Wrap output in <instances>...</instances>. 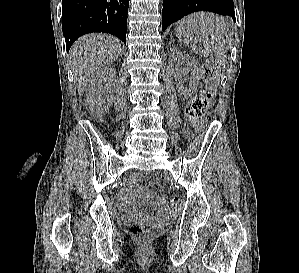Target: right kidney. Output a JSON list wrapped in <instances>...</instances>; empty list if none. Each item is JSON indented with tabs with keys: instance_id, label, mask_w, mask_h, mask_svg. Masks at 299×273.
<instances>
[{
	"instance_id": "right-kidney-1",
	"label": "right kidney",
	"mask_w": 299,
	"mask_h": 273,
	"mask_svg": "<svg viewBox=\"0 0 299 273\" xmlns=\"http://www.w3.org/2000/svg\"><path fill=\"white\" fill-rule=\"evenodd\" d=\"M116 76V70L113 67H103L98 69L91 75L87 84L86 98L93 113L103 116L111 105L115 84L106 83V79L110 80Z\"/></svg>"
}]
</instances>
